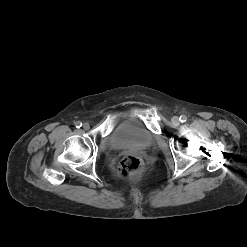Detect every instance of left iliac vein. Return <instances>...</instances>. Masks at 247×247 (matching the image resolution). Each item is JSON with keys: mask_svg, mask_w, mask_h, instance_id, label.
<instances>
[{"mask_svg": "<svg viewBox=\"0 0 247 247\" xmlns=\"http://www.w3.org/2000/svg\"><path fill=\"white\" fill-rule=\"evenodd\" d=\"M172 123H173V125H176V126L179 125V123H180L179 117L174 116L172 118Z\"/></svg>", "mask_w": 247, "mask_h": 247, "instance_id": "left-iliac-vein-1", "label": "left iliac vein"}]
</instances>
